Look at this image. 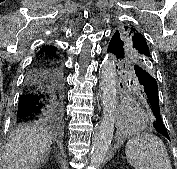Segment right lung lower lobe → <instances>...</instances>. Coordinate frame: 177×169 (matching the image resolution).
Masks as SVG:
<instances>
[{
  "label": "right lung lower lobe",
  "mask_w": 177,
  "mask_h": 169,
  "mask_svg": "<svg viewBox=\"0 0 177 169\" xmlns=\"http://www.w3.org/2000/svg\"><path fill=\"white\" fill-rule=\"evenodd\" d=\"M63 85L59 58L40 52L26 75L16 122H60L63 116Z\"/></svg>",
  "instance_id": "1"
}]
</instances>
